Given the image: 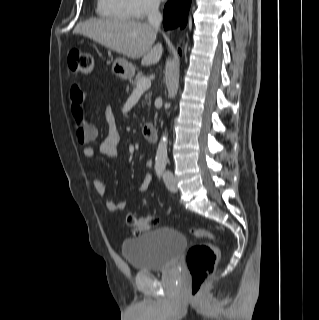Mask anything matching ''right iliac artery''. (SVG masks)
<instances>
[{"label":"right iliac artery","instance_id":"1","mask_svg":"<svg viewBox=\"0 0 319 320\" xmlns=\"http://www.w3.org/2000/svg\"><path fill=\"white\" fill-rule=\"evenodd\" d=\"M163 170L164 169L162 167H157L156 168V173H157L159 178L162 176Z\"/></svg>","mask_w":319,"mask_h":320}]
</instances>
